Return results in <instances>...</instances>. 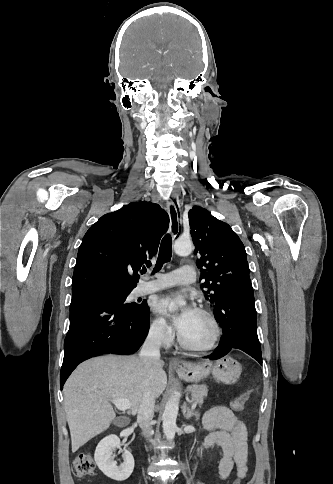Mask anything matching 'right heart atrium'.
<instances>
[{"label": "right heart atrium", "instance_id": "1", "mask_svg": "<svg viewBox=\"0 0 333 484\" xmlns=\"http://www.w3.org/2000/svg\"><path fill=\"white\" fill-rule=\"evenodd\" d=\"M150 337L159 344L169 345L172 341V328L163 317H155L149 329Z\"/></svg>", "mask_w": 333, "mask_h": 484}]
</instances>
